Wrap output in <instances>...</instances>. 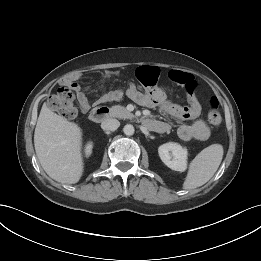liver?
Here are the masks:
<instances>
[{
	"instance_id": "liver-1",
	"label": "liver",
	"mask_w": 261,
	"mask_h": 261,
	"mask_svg": "<svg viewBox=\"0 0 261 261\" xmlns=\"http://www.w3.org/2000/svg\"><path fill=\"white\" fill-rule=\"evenodd\" d=\"M34 146L44 171L54 180L77 183L84 170L82 129L43 104L35 132Z\"/></svg>"
}]
</instances>
